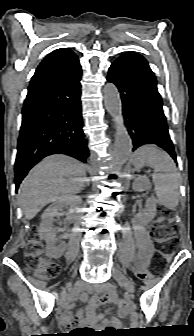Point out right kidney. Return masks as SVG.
I'll use <instances>...</instances> for the list:
<instances>
[{
	"mask_svg": "<svg viewBox=\"0 0 194 336\" xmlns=\"http://www.w3.org/2000/svg\"><path fill=\"white\" fill-rule=\"evenodd\" d=\"M82 199L79 196H67L60 200L55 201L48 208H46L41 217V223L38 233L46 242L48 254L54 258L60 257L64 252L65 243L61 241L57 244L56 231L53 228L54 218L60 215L63 208L68 209L67 220H72V215L76 212L77 208L81 205ZM64 236H62L63 238Z\"/></svg>",
	"mask_w": 194,
	"mask_h": 336,
	"instance_id": "1",
	"label": "right kidney"
}]
</instances>
